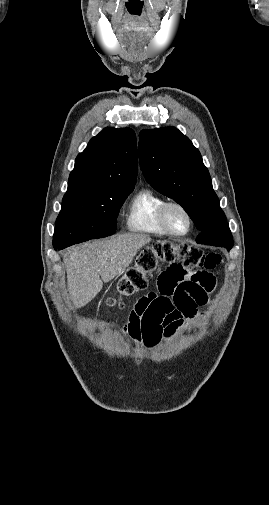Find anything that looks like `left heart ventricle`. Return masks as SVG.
I'll use <instances>...</instances> for the list:
<instances>
[{"label": "left heart ventricle", "mask_w": 269, "mask_h": 505, "mask_svg": "<svg viewBox=\"0 0 269 505\" xmlns=\"http://www.w3.org/2000/svg\"><path fill=\"white\" fill-rule=\"evenodd\" d=\"M167 222L170 228L178 233L187 231L189 223L186 215L177 207H171L166 214Z\"/></svg>", "instance_id": "b2bd125f"}]
</instances>
